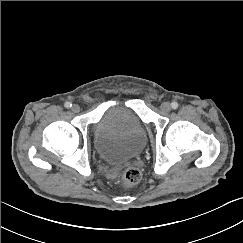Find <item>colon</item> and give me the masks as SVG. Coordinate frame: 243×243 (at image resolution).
<instances>
[{
    "label": "colon",
    "instance_id": "1",
    "mask_svg": "<svg viewBox=\"0 0 243 243\" xmlns=\"http://www.w3.org/2000/svg\"><path fill=\"white\" fill-rule=\"evenodd\" d=\"M120 178L123 184L127 187L136 185L141 179V173L134 167H126L122 169Z\"/></svg>",
    "mask_w": 243,
    "mask_h": 243
}]
</instances>
